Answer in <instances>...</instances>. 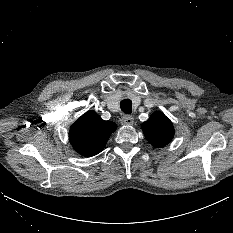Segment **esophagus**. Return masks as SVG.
Listing matches in <instances>:
<instances>
[{"label": "esophagus", "mask_w": 233, "mask_h": 233, "mask_svg": "<svg viewBox=\"0 0 233 233\" xmlns=\"http://www.w3.org/2000/svg\"><path fill=\"white\" fill-rule=\"evenodd\" d=\"M134 122V118L131 115H124L121 118V124L122 125H132Z\"/></svg>", "instance_id": "esophagus-1"}]
</instances>
